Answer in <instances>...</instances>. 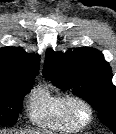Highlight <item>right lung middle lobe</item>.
Returning <instances> with one entry per match:
<instances>
[{"label":"right lung middle lobe","instance_id":"right-lung-middle-lobe-1","mask_svg":"<svg viewBox=\"0 0 116 134\" xmlns=\"http://www.w3.org/2000/svg\"><path fill=\"white\" fill-rule=\"evenodd\" d=\"M35 77L15 91L0 89V125H15L22 109L24 95L30 90Z\"/></svg>","mask_w":116,"mask_h":134}]
</instances>
